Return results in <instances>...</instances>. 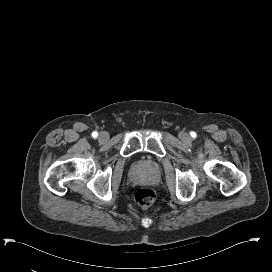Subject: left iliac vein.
<instances>
[{
    "instance_id": "4c4485c4",
    "label": "left iliac vein",
    "mask_w": 272,
    "mask_h": 272,
    "mask_svg": "<svg viewBox=\"0 0 272 272\" xmlns=\"http://www.w3.org/2000/svg\"><path fill=\"white\" fill-rule=\"evenodd\" d=\"M179 137L183 142H186V143L191 140L189 134L185 132L180 133Z\"/></svg>"
}]
</instances>
